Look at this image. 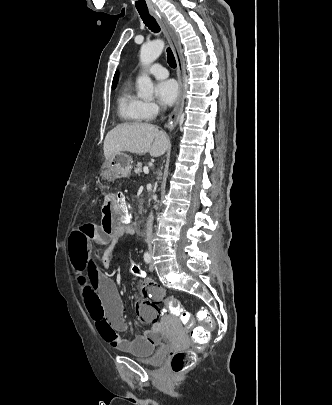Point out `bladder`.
Wrapping results in <instances>:
<instances>
[{"label": "bladder", "instance_id": "bladder-1", "mask_svg": "<svg viewBox=\"0 0 332 405\" xmlns=\"http://www.w3.org/2000/svg\"><path fill=\"white\" fill-rule=\"evenodd\" d=\"M125 353L133 356L134 358L152 365L162 364L166 358L167 345L161 341L153 343L149 346L148 351L143 353L138 350H128Z\"/></svg>", "mask_w": 332, "mask_h": 405}]
</instances>
